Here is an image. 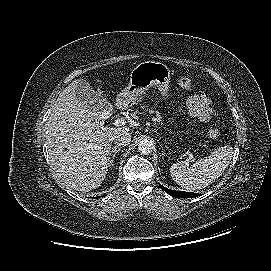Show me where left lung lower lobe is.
Returning a JSON list of instances; mask_svg holds the SVG:
<instances>
[{
	"label": "left lung lower lobe",
	"instance_id": "obj_1",
	"mask_svg": "<svg viewBox=\"0 0 271 271\" xmlns=\"http://www.w3.org/2000/svg\"><path fill=\"white\" fill-rule=\"evenodd\" d=\"M160 187L167 192L169 195L176 197V198H192V197H198L200 194L198 193H192V192H184V191H174L167 189L160 185Z\"/></svg>",
	"mask_w": 271,
	"mask_h": 271
}]
</instances>
